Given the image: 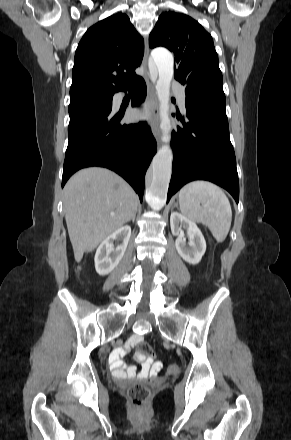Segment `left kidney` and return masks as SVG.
Wrapping results in <instances>:
<instances>
[{
	"label": "left kidney",
	"mask_w": 291,
	"mask_h": 440,
	"mask_svg": "<svg viewBox=\"0 0 291 440\" xmlns=\"http://www.w3.org/2000/svg\"><path fill=\"white\" fill-rule=\"evenodd\" d=\"M172 234L175 235V246L178 254L190 264H198L206 251V241L195 222L178 212H172L170 216ZM187 230L189 238L186 244L184 231Z\"/></svg>",
	"instance_id": "obj_1"
}]
</instances>
